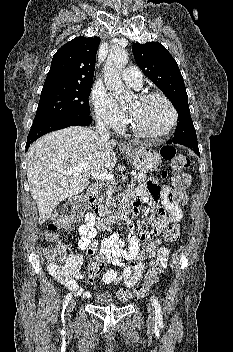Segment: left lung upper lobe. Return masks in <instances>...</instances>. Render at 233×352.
I'll return each mask as SVG.
<instances>
[{
  "label": "left lung upper lobe",
  "instance_id": "1",
  "mask_svg": "<svg viewBox=\"0 0 233 352\" xmlns=\"http://www.w3.org/2000/svg\"><path fill=\"white\" fill-rule=\"evenodd\" d=\"M132 51L140 69L162 90L177 110L179 123L172 140L176 143L197 140L184 80L175 59L158 42L135 43Z\"/></svg>",
  "mask_w": 233,
  "mask_h": 352
}]
</instances>
